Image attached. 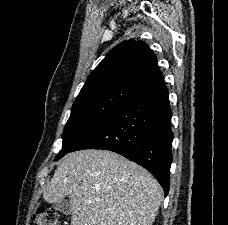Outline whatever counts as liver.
<instances>
[{
    "label": "liver",
    "instance_id": "obj_1",
    "mask_svg": "<svg viewBox=\"0 0 228 225\" xmlns=\"http://www.w3.org/2000/svg\"><path fill=\"white\" fill-rule=\"evenodd\" d=\"M69 197L70 225H153L163 201L156 179L112 151H75L44 189L46 203Z\"/></svg>",
    "mask_w": 228,
    "mask_h": 225
}]
</instances>
